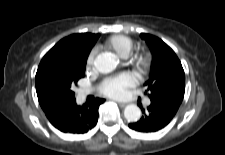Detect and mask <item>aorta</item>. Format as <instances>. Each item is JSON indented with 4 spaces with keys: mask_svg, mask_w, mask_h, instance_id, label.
Segmentation results:
<instances>
[{
    "mask_svg": "<svg viewBox=\"0 0 225 155\" xmlns=\"http://www.w3.org/2000/svg\"><path fill=\"white\" fill-rule=\"evenodd\" d=\"M118 63L115 57L107 54H100L94 60L95 68L103 74L114 71ZM124 117L128 122H137L141 117V109L135 104L127 105L124 109Z\"/></svg>",
    "mask_w": 225,
    "mask_h": 155,
    "instance_id": "1",
    "label": "aorta"
}]
</instances>
